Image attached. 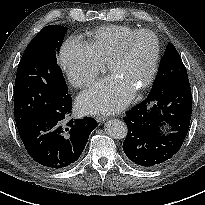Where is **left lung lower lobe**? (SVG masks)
Here are the masks:
<instances>
[{"label":"left lung lower lobe","mask_w":205,"mask_h":205,"mask_svg":"<svg viewBox=\"0 0 205 205\" xmlns=\"http://www.w3.org/2000/svg\"><path fill=\"white\" fill-rule=\"evenodd\" d=\"M191 112L188 77L151 89L148 97L123 118L128 127L123 150L130 162L141 168H154L172 158L188 133ZM166 125L171 131L164 133Z\"/></svg>","instance_id":"0a47b994"}]
</instances>
